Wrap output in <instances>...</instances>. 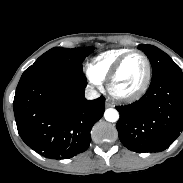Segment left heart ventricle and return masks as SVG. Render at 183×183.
Segmentation results:
<instances>
[{
    "instance_id": "1",
    "label": "left heart ventricle",
    "mask_w": 183,
    "mask_h": 183,
    "mask_svg": "<svg viewBox=\"0 0 183 183\" xmlns=\"http://www.w3.org/2000/svg\"><path fill=\"white\" fill-rule=\"evenodd\" d=\"M146 73L144 59L136 53L129 55L123 62L113 87L120 93H130L136 90L143 82Z\"/></svg>"
}]
</instances>
